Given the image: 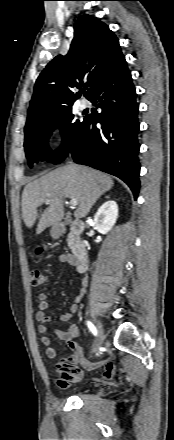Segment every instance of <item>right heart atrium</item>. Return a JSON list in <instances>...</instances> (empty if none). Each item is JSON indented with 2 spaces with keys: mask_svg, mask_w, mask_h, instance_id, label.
Wrapping results in <instances>:
<instances>
[{
  "mask_svg": "<svg viewBox=\"0 0 174 440\" xmlns=\"http://www.w3.org/2000/svg\"><path fill=\"white\" fill-rule=\"evenodd\" d=\"M55 133H59V128H56V129H55Z\"/></svg>",
  "mask_w": 174,
  "mask_h": 440,
  "instance_id": "obj_1",
  "label": "right heart atrium"
}]
</instances>
